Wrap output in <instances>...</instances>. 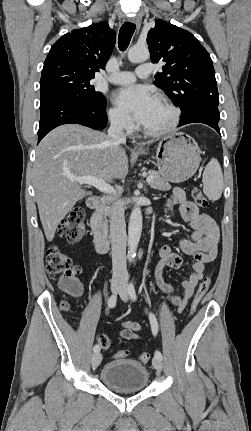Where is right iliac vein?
I'll return each mask as SVG.
<instances>
[{"mask_svg":"<svg viewBox=\"0 0 251 431\" xmlns=\"http://www.w3.org/2000/svg\"><path fill=\"white\" fill-rule=\"evenodd\" d=\"M120 289H121V284H120L119 282H113V283L111 284V291H112L114 294H117V293L120 291ZM101 360H102V355H101V353H100V352H95V353L93 354V356H92V360H91L92 367H93V368H97V367L99 366V364L101 363Z\"/></svg>","mask_w":251,"mask_h":431,"instance_id":"1","label":"right iliac vein"}]
</instances>
